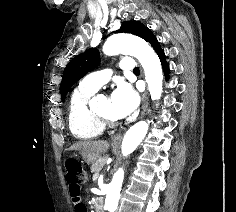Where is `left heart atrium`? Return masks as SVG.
<instances>
[{
  "mask_svg": "<svg viewBox=\"0 0 236 212\" xmlns=\"http://www.w3.org/2000/svg\"><path fill=\"white\" fill-rule=\"evenodd\" d=\"M138 105V94L127 84L118 86L111 95V110L117 119L130 115Z\"/></svg>",
  "mask_w": 236,
  "mask_h": 212,
  "instance_id": "1",
  "label": "left heart atrium"
}]
</instances>
